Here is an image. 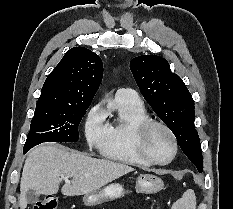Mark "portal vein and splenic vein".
Here are the masks:
<instances>
[{"instance_id": "18ae733b", "label": "portal vein and splenic vein", "mask_w": 233, "mask_h": 209, "mask_svg": "<svg viewBox=\"0 0 233 209\" xmlns=\"http://www.w3.org/2000/svg\"><path fill=\"white\" fill-rule=\"evenodd\" d=\"M68 176H61V179L65 180L67 183H70V180H68Z\"/></svg>"}]
</instances>
